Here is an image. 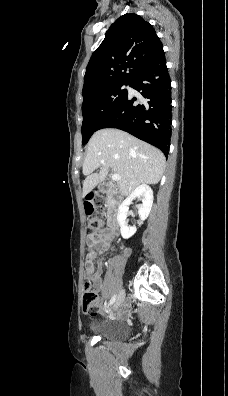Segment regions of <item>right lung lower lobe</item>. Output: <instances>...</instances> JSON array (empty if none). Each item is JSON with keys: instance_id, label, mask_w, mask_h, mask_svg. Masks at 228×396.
<instances>
[{"instance_id": "98d812e1", "label": "right lung lower lobe", "mask_w": 228, "mask_h": 396, "mask_svg": "<svg viewBox=\"0 0 228 396\" xmlns=\"http://www.w3.org/2000/svg\"><path fill=\"white\" fill-rule=\"evenodd\" d=\"M130 86L140 92L136 98L125 97L119 107L102 123L101 128H117L159 148L167 157L171 139V80L163 46L139 72Z\"/></svg>"}]
</instances>
